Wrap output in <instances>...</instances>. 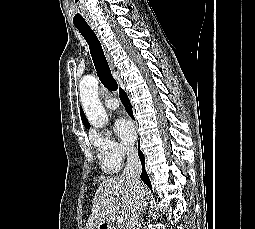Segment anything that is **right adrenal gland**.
<instances>
[{
	"instance_id": "obj_1",
	"label": "right adrenal gland",
	"mask_w": 255,
	"mask_h": 229,
	"mask_svg": "<svg viewBox=\"0 0 255 229\" xmlns=\"http://www.w3.org/2000/svg\"><path fill=\"white\" fill-rule=\"evenodd\" d=\"M147 205H148V203H147V201H145L141 212H143V210H145V208H146Z\"/></svg>"
}]
</instances>
